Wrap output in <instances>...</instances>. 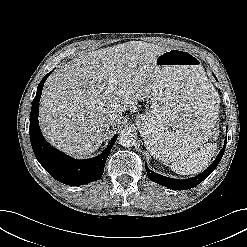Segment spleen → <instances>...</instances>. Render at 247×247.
Masks as SVG:
<instances>
[{"mask_svg": "<svg viewBox=\"0 0 247 247\" xmlns=\"http://www.w3.org/2000/svg\"><path fill=\"white\" fill-rule=\"evenodd\" d=\"M212 129L214 131L211 132L210 136H212V138L216 140L219 131L217 130V128H214V125ZM216 150L217 145L215 143H207L201 147L200 151H196L187 159L173 162L170 167L172 171L180 175H190L199 173L203 171L206 167H208L209 162L216 153Z\"/></svg>", "mask_w": 247, "mask_h": 247, "instance_id": "spleen-1", "label": "spleen"}]
</instances>
